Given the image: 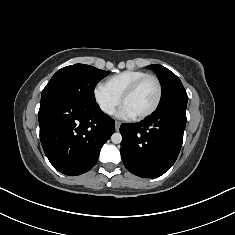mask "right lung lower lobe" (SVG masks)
Here are the masks:
<instances>
[{"instance_id": "1", "label": "right lung lower lobe", "mask_w": 235, "mask_h": 235, "mask_svg": "<svg viewBox=\"0 0 235 235\" xmlns=\"http://www.w3.org/2000/svg\"><path fill=\"white\" fill-rule=\"evenodd\" d=\"M39 126L41 144L50 163L70 176L89 171L101 147L115 132L114 120L97 103L63 99L41 102Z\"/></svg>"}]
</instances>
